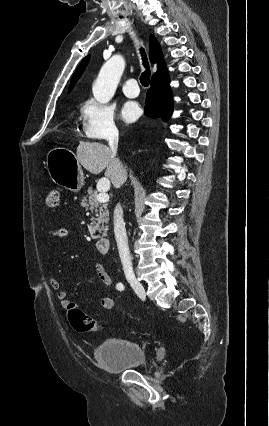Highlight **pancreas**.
I'll list each match as a JSON object with an SVG mask.
<instances>
[{"mask_svg": "<svg viewBox=\"0 0 269 426\" xmlns=\"http://www.w3.org/2000/svg\"><path fill=\"white\" fill-rule=\"evenodd\" d=\"M97 192L93 191L92 188H89L87 195L82 199V206L87 210H94L95 216L91 219V224L89 226V232L92 238L96 239L99 236L96 235V231L104 230L107 231V228L104 226L105 223H108L109 212L107 209V204L98 203L96 200Z\"/></svg>", "mask_w": 269, "mask_h": 426, "instance_id": "cf45deb5", "label": "pancreas"}]
</instances>
